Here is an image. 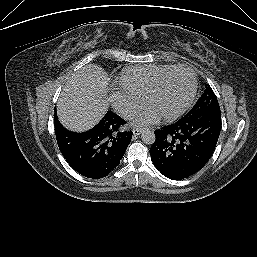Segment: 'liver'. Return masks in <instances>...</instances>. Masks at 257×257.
<instances>
[{
  "instance_id": "6515ba94",
  "label": "liver",
  "mask_w": 257,
  "mask_h": 257,
  "mask_svg": "<svg viewBox=\"0 0 257 257\" xmlns=\"http://www.w3.org/2000/svg\"><path fill=\"white\" fill-rule=\"evenodd\" d=\"M109 77L99 65L87 64L67 80L57 103L61 123L72 131L95 126L108 110Z\"/></svg>"
}]
</instances>
